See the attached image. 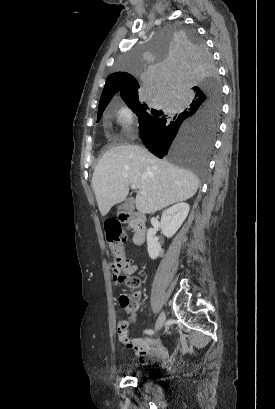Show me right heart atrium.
Instances as JSON below:
<instances>
[{
	"instance_id": "right-heart-atrium-1",
	"label": "right heart atrium",
	"mask_w": 275,
	"mask_h": 409,
	"mask_svg": "<svg viewBox=\"0 0 275 409\" xmlns=\"http://www.w3.org/2000/svg\"><path fill=\"white\" fill-rule=\"evenodd\" d=\"M117 122L122 128L124 139L120 143H129L134 138L136 115L133 110L127 106H123L117 112Z\"/></svg>"
}]
</instances>
